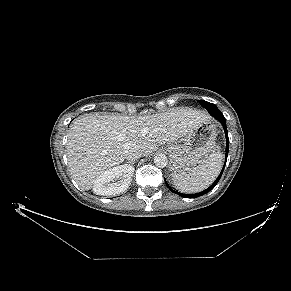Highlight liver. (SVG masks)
<instances>
[{"mask_svg":"<svg viewBox=\"0 0 291 291\" xmlns=\"http://www.w3.org/2000/svg\"><path fill=\"white\" fill-rule=\"evenodd\" d=\"M210 119L206 112L187 107L139 117L98 113L82 116L68 133L70 173L80 188L90 190L102 173L126 159L128 147L137 146L142 155L148 156L158 146L180 140Z\"/></svg>","mask_w":291,"mask_h":291,"instance_id":"6515ba94","label":"liver"}]
</instances>
